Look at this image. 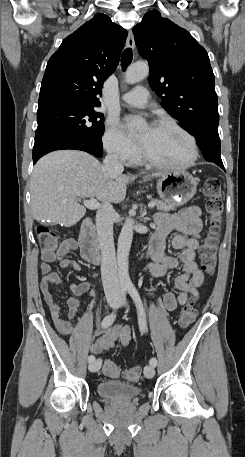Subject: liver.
Instances as JSON below:
<instances>
[{"instance_id":"6515ba94","label":"liver","mask_w":245,"mask_h":457,"mask_svg":"<svg viewBox=\"0 0 245 457\" xmlns=\"http://www.w3.org/2000/svg\"><path fill=\"white\" fill-rule=\"evenodd\" d=\"M95 156L83 150H54L36 162L31 174V210L35 220L76 224L86 212L78 198L96 196L102 202H122L127 174L107 178ZM154 172L152 176H161Z\"/></svg>"}]
</instances>
